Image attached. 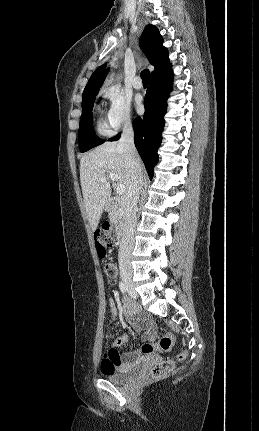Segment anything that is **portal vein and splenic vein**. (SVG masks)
<instances>
[{
    "label": "portal vein and splenic vein",
    "mask_w": 259,
    "mask_h": 431,
    "mask_svg": "<svg viewBox=\"0 0 259 431\" xmlns=\"http://www.w3.org/2000/svg\"><path fill=\"white\" fill-rule=\"evenodd\" d=\"M107 178L111 179L112 181H118V175L115 173H110L107 175V177H102L100 181L105 182ZM116 192L119 195H123L126 192L125 186L122 184L117 185Z\"/></svg>",
    "instance_id": "1"
}]
</instances>
